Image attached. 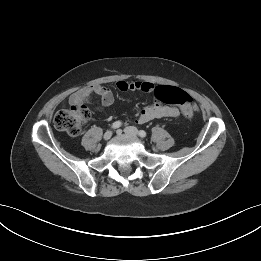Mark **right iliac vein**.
Masks as SVG:
<instances>
[{
  "label": "right iliac vein",
  "instance_id": "obj_1",
  "mask_svg": "<svg viewBox=\"0 0 261 261\" xmlns=\"http://www.w3.org/2000/svg\"><path fill=\"white\" fill-rule=\"evenodd\" d=\"M111 136H112V131H107V132H105L103 138H104V140H109L111 138Z\"/></svg>",
  "mask_w": 261,
  "mask_h": 261
}]
</instances>
